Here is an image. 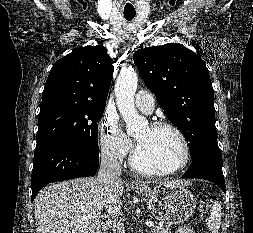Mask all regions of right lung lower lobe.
Listing matches in <instances>:
<instances>
[{
    "instance_id": "right-lung-lower-lobe-1",
    "label": "right lung lower lobe",
    "mask_w": 253,
    "mask_h": 233,
    "mask_svg": "<svg viewBox=\"0 0 253 233\" xmlns=\"http://www.w3.org/2000/svg\"><path fill=\"white\" fill-rule=\"evenodd\" d=\"M98 164L99 151L58 140L38 144L34 153L31 201L50 182L93 176Z\"/></svg>"
}]
</instances>
